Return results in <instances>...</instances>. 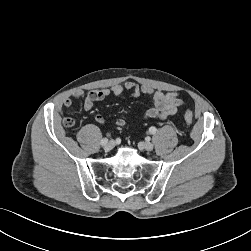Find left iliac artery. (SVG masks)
<instances>
[{
	"label": "left iliac artery",
	"mask_w": 251,
	"mask_h": 251,
	"mask_svg": "<svg viewBox=\"0 0 251 251\" xmlns=\"http://www.w3.org/2000/svg\"><path fill=\"white\" fill-rule=\"evenodd\" d=\"M156 131H157V129H156V127H154V126H152V127L149 128V133H150V134H155Z\"/></svg>",
	"instance_id": "left-iliac-artery-1"
}]
</instances>
